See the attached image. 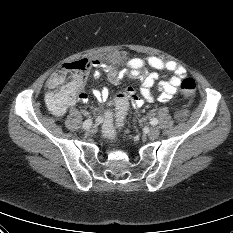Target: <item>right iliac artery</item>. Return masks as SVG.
<instances>
[{
	"mask_svg": "<svg viewBox=\"0 0 233 233\" xmlns=\"http://www.w3.org/2000/svg\"><path fill=\"white\" fill-rule=\"evenodd\" d=\"M90 120H91V119H87V120L84 121V123H83V125H82V127H83L84 129L90 128V125H89Z\"/></svg>",
	"mask_w": 233,
	"mask_h": 233,
	"instance_id": "right-iliac-artery-1",
	"label": "right iliac artery"
}]
</instances>
